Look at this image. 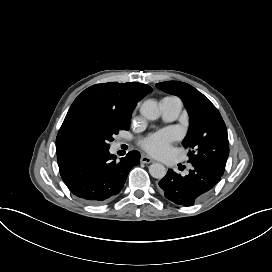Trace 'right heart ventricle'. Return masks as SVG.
<instances>
[{"label":"right heart ventricle","instance_id":"1","mask_svg":"<svg viewBox=\"0 0 272 272\" xmlns=\"http://www.w3.org/2000/svg\"><path fill=\"white\" fill-rule=\"evenodd\" d=\"M160 111L162 112L161 108H160ZM170 133H171V137L173 136V131H174V128H171L170 130Z\"/></svg>","mask_w":272,"mask_h":272}]
</instances>
